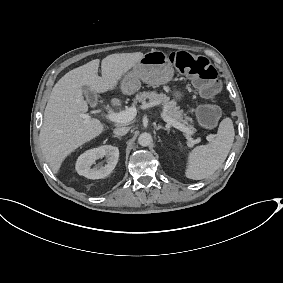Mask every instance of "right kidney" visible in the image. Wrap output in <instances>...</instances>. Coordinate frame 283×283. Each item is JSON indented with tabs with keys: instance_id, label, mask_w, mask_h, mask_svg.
<instances>
[{
	"instance_id": "right-kidney-1",
	"label": "right kidney",
	"mask_w": 283,
	"mask_h": 283,
	"mask_svg": "<svg viewBox=\"0 0 283 283\" xmlns=\"http://www.w3.org/2000/svg\"><path fill=\"white\" fill-rule=\"evenodd\" d=\"M105 157L94 168L96 160ZM119 158V150L114 146H102L83 153L77 160L76 170L79 175L89 179H103L107 177L116 167Z\"/></svg>"
}]
</instances>
